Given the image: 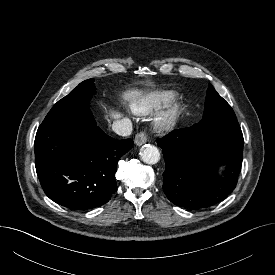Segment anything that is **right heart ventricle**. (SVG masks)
<instances>
[{"instance_id":"1","label":"right heart ventricle","mask_w":275,"mask_h":275,"mask_svg":"<svg viewBox=\"0 0 275 275\" xmlns=\"http://www.w3.org/2000/svg\"><path fill=\"white\" fill-rule=\"evenodd\" d=\"M176 97L174 90L165 89L148 92L132 103L133 112L141 115H147L168 104Z\"/></svg>"}]
</instances>
